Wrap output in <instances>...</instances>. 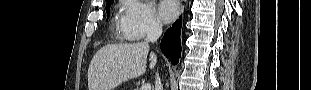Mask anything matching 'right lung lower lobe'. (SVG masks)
<instances>
[{
  "label": "right lung lower lobe",
  "instance_id": "right-lung-lower-lobe-1",
  "mask_svg": "<svg viewBox=\"0 0 311 90\" xmlns=\"http://www.w3.org/2000/svg\"><path fill=\"white\" fill-rule=\"evenodd\" d=\"M180 29L181 17L166 31L160 44L161 51L174 65L178 63L181 54Z\"/></svg>",
  "mask_w": 311,
  "mask_h": 90
}]
</instances>
